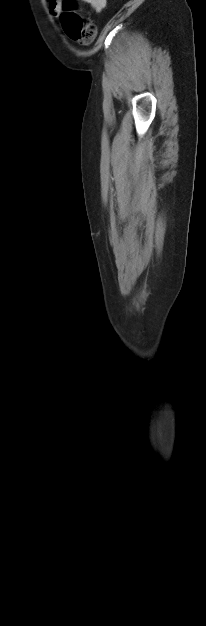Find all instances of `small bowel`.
<instances>
[{"label": "small bowel", "instance_id": "obj_1", "mask_svg": "<svg viewBox=\"0 0 206 626\" xmlns=\"http://www.w3.org/2000/svg\"><path fill=\"white\" fill-rule=\"evenodd\" d=\"M49 8L54 16H59L62 10L63 0H47ZM88 3L96 13L101 12L107 3V0H83Z\"/></svg>", "mask_w": 206, "mask_h": 626}]
</instances>
